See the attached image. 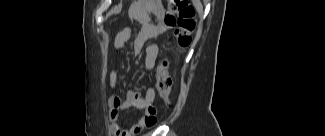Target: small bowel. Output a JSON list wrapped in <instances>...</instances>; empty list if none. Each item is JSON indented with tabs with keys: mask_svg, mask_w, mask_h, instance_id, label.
<instances>
[{
	"mask_svg": "<svg viewBox=\"0 0 325 136\" xmlns=\"http://www.w3.org/2000/svg\"><path fill=\"white\" fill-rule=\"evenodd\" d=\"M162 32V27L154 22L148 21L142 25L134 38V48L136 51L145 50V69L151 70L155 59L158 55L159 48L157 45L148 44L151 40L157 38ZM132 36V28L124 27L121 29L114 40V60H117L121 54L124 45ZM118 81L116 70L109 74V86L114 88ZM155 100V91L148 88L144 93L138 90L129 91L124 97L113 95L109 98L108 104L110 109V118L113 121L112 129L116 136H135L145 128H150L156 124V110L153 107ZM135 108L144 111L143 117L134 125L123 128L118 122L119 112L126 108Z\"/></svg>",
	"mask_w": 325,
	"mask_h": 136,
	"instance_id": "c3829d8e",
	"label": "small bowel"
}]
</instances>
